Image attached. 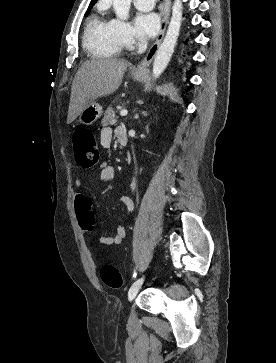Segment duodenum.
<instances>
[{
  "instance_id": "1",
  "label": "duodenum",
  "mask_w": 276,
  "mask_h": 363,
  "mask_svg": "<svg viewBox=\"0 0 276 363\" xmlns=\"http://www.w3.org/2000/svg\"><path fill=\"white\" fill-rule=\"evenodd\" d=\"M127 134H126V132H120L119 134H118V141L120 142V144L122 145V146H125L126 144H127Z\"/></svg>"
}]
</instances>
